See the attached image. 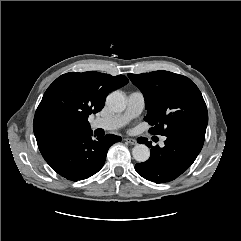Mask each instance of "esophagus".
Returning a JSON list of instances; mask_svg holds the SVG:
<instances>
[{"label":"esophagus","instance_id":"obj_1","mask_svg":"<svg viewBox=\"0 0 241 241\" xmlns=\"http://www.w3.org/2000/svg\"><path fill=\"white\" fill-rule=\"evenodd\" d=\"M127 143L131 144V145H136L137 141L133 138H125L124 139Z\"/></svg>","mask_w":241,"mask_h":241}]
</instances>
